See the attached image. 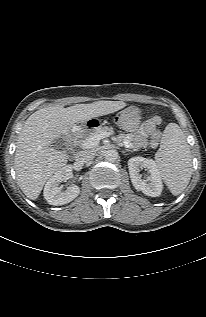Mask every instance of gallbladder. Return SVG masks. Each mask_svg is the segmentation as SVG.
<instances>
[{"instance_id": "1", "label": "gallbladder", "mask_w": 206, "mask_h": 317, "mask_svg": "<svg viewBox=\"0 0 206 317\" xmlns=\"http://www.w3.org/2000/svg\"><path fill=\"white\" fill-rule=\"evenodd\" d=\"M51 147L63 152L68 151V146L63 136L54 139V141L51 144Z\"/></svg>"}]
</instances>
